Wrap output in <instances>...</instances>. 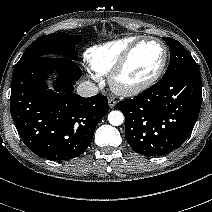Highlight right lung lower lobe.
<instances>
[{"mask_svg":"<svg viewBox=\"0 0 212 212\" xmlns=\"http://www.w3.org/2000/svg\"><path fill=\"white\" fill-rule=\"evenodd\" d=\"M52 69L60 72L55 91L45 84ZM81 75L79 66L67 57L42 56L15 66L11 115L22 141L36 155L68 160L90 144L109 107L101 94L84 98L73 92Z\"/></svg>","mask_w":212,"mask_h":212,"instance_id":"1","label":"right lung lower lobe"}]
</instances>
